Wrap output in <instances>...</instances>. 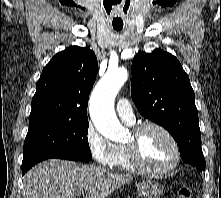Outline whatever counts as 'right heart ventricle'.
<instances>
[{
  "mask_svg": "<svg viewBox=\"0 0 221 198\" xmlns=\"http://www.w3.org/2000/svg\"><path fill=\"white\" fill-rule=\"evenodd\" d=\"M112 166L126 171L136 170L128 158L125 145H116L115 158Z\"/></svg>",
  "mask_w": 221,
  "mask_h": 198,
  "instance_id": "right-heart-ventricle-1",
  "label": "right heart ventricle"
}]
</instances>
